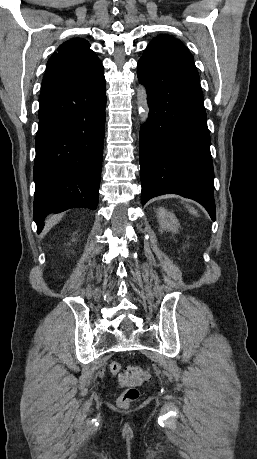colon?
Masks as SVG:
<instances>
[{
    "mask_svg": "<svg viewBox=\"0 0 257 459\" xmlns=\"http://www.w3.org/2000/svg\"><path fill=\"white\" fill-rule=\"evenodd\" d=\"M109 369L117 377L121 385L126 387L117 400L119 407L126 408L138 399L139 391L137 387L148 380V371L141 366H128L122 371L121 364L116 361L110 363Z\"/></svg>",
    "mask_w": 257,
    "mask_h": 459,
    "instance_id": "colon-1",
    "label": "colon"
}]
</instances>
